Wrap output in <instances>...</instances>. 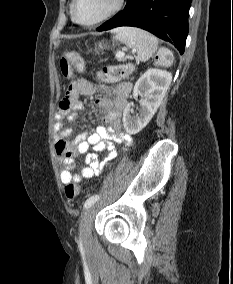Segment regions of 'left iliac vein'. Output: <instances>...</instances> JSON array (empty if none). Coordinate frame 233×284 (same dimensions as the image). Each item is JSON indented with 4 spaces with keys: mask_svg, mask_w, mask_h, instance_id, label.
<instances>
[{
    "mask_svg": "<svg viewBox=\"0 0 233 284\" xmlns=\"http://www.w3.org/2000/svg\"><path fill=\"white\" fill-rule=\"evenodd\" d=\"M93 214L94 206L90 207L85 211L80 225V235L84 245H89L91 243V225Z\"/></svg>",
    "mask_w": 233,
    "mask_h": 284,
    "instance_id": "4c4485c4",
    "label": "left iliac vein"
}]
</instances>
